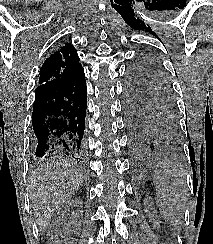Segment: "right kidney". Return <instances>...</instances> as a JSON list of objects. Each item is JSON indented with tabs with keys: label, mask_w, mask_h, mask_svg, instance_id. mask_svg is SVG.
<instances>
[{
	"label": "right kidney",
	"mask_w": 213,
	"mask_h": 244,
	"mask_svg": "<svg viewBox=\"0 0 213 244\" xmlns=\"http://www.w3.org/2000/svg\"><path fill=\"white\" fill-rule=\"evenodd\" d=\"M82 200L79 198L72 199L71 201L67 202L66 208H81L82 207Z\"/></svg>",
	"instance_id": "ca27d5eb"
}]
</instances>
